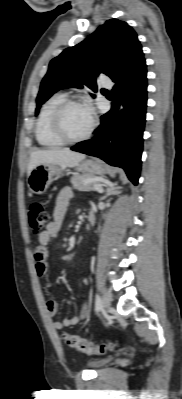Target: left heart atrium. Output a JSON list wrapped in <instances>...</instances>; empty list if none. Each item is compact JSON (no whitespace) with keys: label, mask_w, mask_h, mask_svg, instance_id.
Masks as SVG:
<instances>
[{"label":"left heart atrium","mask_w":182,"mask_h":399,"mask_svg":"<svg viewBox=\"0 0 182 399\" xmlns=\"http://www.w3.org/2000/svg\"><path fill=\"white\" fill-rule=\"evenodd\" d=\"M86 108L88 109L89 113L91 114L92 113L91 107L89 105H87Z\"/></svg>","instance_id":"39dd6f15"}]
</instances>
